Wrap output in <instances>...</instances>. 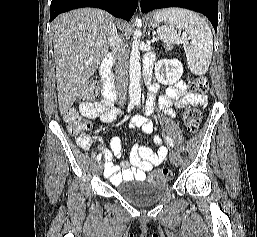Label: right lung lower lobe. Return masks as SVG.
Instances as JSON below:
<instances>
[{"instance_id": "right-lung-lower-lobe-1", "label": "right lung lower lobe", "mask_w": 257, "mask_h": 237, "mask_svg": "<svg viewBox=\"0 0 257 237\" xmlns=\"http://www.w3.org/2000/svg\"><path fill=\"white\" fill-rule=\"evenodd\" d=\"M138 6V0H52L50 21L60 13L82 7H95L108 11L115 17L130 20Z\"/></svg>"}]
</instances>
